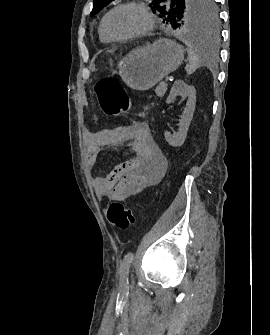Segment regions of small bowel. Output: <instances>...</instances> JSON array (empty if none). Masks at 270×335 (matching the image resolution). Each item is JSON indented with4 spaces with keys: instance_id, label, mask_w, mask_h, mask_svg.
Instances as JSON below:
<instances>
[{
    "instance_id": "obj_1",
    "label": "small bowel",
    "mask_w": 270,
    "mask_h": 335,
    "mask_svg": "<svg viewBox=\"0 0 270 335\" xmlns=\"http://www.w3.org/2000/svg\"><path fill=\"white\" fill-rule=\"evenodd\" d=\"M114 135L120 142H129L135 156L117 165L110 173L96 177L93 187L100 196L115 201H126L147 186L157 183L165 172L167 161L155 144L145 122L122 126ZM106 144L103 132L88 134L87 160L90 166L97 163L99 153Z\"/></svg>"
}]
</instances>
